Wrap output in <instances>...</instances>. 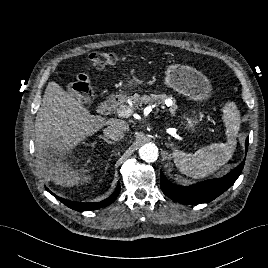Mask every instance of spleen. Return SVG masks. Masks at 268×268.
<instances>
[{"label": "spleen", "mask_w": 268, "mask_h": 268, "mask_svg": "<svg viewBox=\"0 0 268 268\" xmlns=\"http://www.w3.org/2000/svg\"><path fill=\"white\" fill-rule=\"evenodd\" d=\"M223 122L226 126V143H213L198 149L194 154L179 150L173 151L174 163L181 173L194 179L204 178L231 159L240 129V113L234 102L225 104Z\"/></svg>", "instance_id": "3e777b00"}]
</instances>
